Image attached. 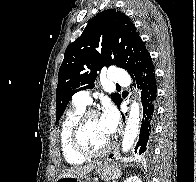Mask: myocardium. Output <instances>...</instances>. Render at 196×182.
<instances>
[{"label": "myocardium", "mask_w": 196, "mask_h": 182, "mask_svg": "<svg viewBox=\"0 0 196 182\" xmlns=\"http://www.w3.org/2000/svg\"><path fill=\"white\" fill-rule=\"evenodd\" d=\"M94 116H100V113L94 109L84 110L79 117L76 119L75 123L70 132V144L72 149L80 156L84 158H96L107 154L114 145L112 139H110L109 143L100 150L97 151H89L86 149L81 142V132L86 122Z\"/></svg>", "instance_id": "myocardium-1"}]
</instances>
